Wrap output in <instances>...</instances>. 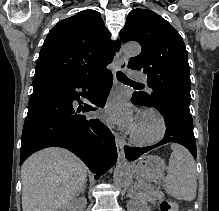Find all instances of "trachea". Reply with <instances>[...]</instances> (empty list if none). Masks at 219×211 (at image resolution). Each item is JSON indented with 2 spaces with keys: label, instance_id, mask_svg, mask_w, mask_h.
Masks as SVG:
<instances>
[{
  "label": "trachea",
  "instance_id": "3493384b",
  "mask_svg": "<svg viewBox=\"0 0 219 211\" xmlns=\"http://www.w3.org/2000/svg\"><path fill=\"white\" fill-rule=\"evenodd\" d=\"M116 76H117V79L119 81H121L122 83H125V84H137L136 82H133L132 80H130L122 71H118Z\"/></svg>",
  "mask_w": 219,
  "mask_h": 211
}]
</instances>
